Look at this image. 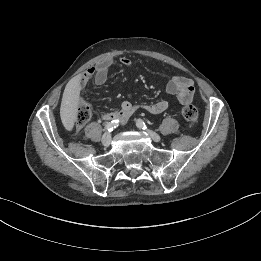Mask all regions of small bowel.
I'll use <instances>...</instances> for the list:
<instances>
[{
    "mask_svg": "<svg viewBox=\"0 0 261 261\" xmlns=\"http://www.w3.org/2000/svg\"><path fill=\"white\" fill-rule=\"evenodd\" d=\"M113 61L111 59L98 63L95 67L86 70L78 79L75 91L79 92L84 85L93 79L96 85H102L106 82L108 71ZM120 63L125 67H130L132 62L127 57H121ZM166 91L171 95H175L182 105L190 104L195 95L194 83L190 78L183 76H173L166 84ZM169 104L165 100H160L150 104L135 105L129 101L122 102L118 110L102 114L101 119L104 121L118 120L121 124H125L129 118L138 110L142 109L150 114H160L168 108Z\"/></svg>",
    "mask_w": 261,
    "mask_h": 261,
    "instance_id": "c3829d8e",
    "label": "small bowel"
}]
</instances>
